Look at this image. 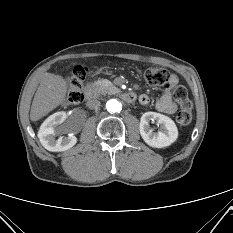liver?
<instances>
[{"label": "liver", "instance_id": "1", "mask_svg": "<svg viewBox=\"0 0 233 233\" xmlns=\"http://www.w3.org/2000/svg\"><path fill=\"white\" fill-rule=\"evenodd\" d=\"M67 83L60 75L44 73L40 77L31 105L30 119L37 121L58 107L66 97Z\"/></svg>", "mask_w": 233, "mask_h": 233}]
</instances>
